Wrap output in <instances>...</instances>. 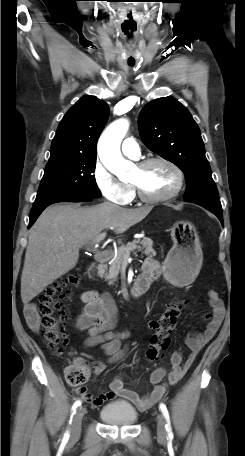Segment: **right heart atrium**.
Returning <instances> with one entry per match:
<instances>
[{"instance_id": "obj_1", "label": "right heart atrium", "mask_w": 245, "mask_h": 456, "mask_svg": "<svg viewBox=\"0 0 245 456\" xmlns=\"http://www.w3.org/2000/svg\"><path fill=\"white\" fill-rule=\"evenodd\" d=\"M91 175L98 191L106 200L119 205L130 202L132 187L119 181L100 160L95 161Z\"/></svg>"}]
</instances>
